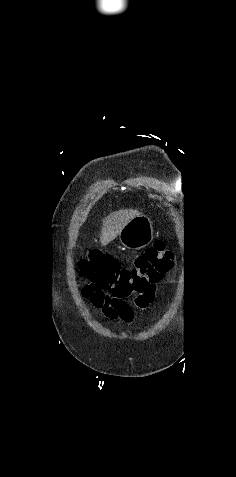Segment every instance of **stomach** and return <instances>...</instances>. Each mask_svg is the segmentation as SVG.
I'll use <instances>...</instances> for the list:
<instances>
[{
    "mask_svg": "<svg viewBox=\"0 0 236 477\" xmlns=\"http://www.w3.org/2000/svg\"><path fill=\"white\" fill-rule=\"evenodd\" d=\"M153 235L151 220L146 216L139 215L124 226L119 234V240L127 249L140 250L151 243Z\"/></svg>",
    "mask_w": 236,
    "mask_h": 477,
    "instance_id": "0dacf381",
    "label": "stomach"
}]
</instances>
